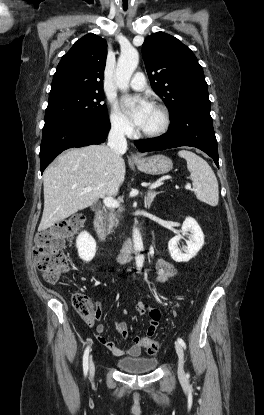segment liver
Listing matches in <instances>:
<instances>
[{"instance_id":"obj_1","label":"liver","mask_w":264,"mask_h":415,"mask_svg":"<svg viewBox=\"0 0 264 415\" xmlns=\"http://www.w3.org/2000/svg\"><path fill=\"white\" fill-rule=\"evenodd\" d=\"M125 162L106 145L70 149L43 174L44 210L38 230L83 210L105 196L125 178ZM87 187L93 188L84 192Z\"/></svg>"}]
</instances>
